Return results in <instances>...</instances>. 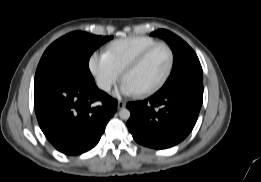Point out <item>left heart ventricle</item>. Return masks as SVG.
Returning <instances> with one entry per match:
<instances>
[{
	"label": "left heart ventricle",
	"instance_id": "left-heart-ventricle-1",
	"mask_svg": "<svg viewBox=\"0 0 261 182\" xmlns=\"http://www.w3.org/2000/svg\"><path fill=\"white\" fill-rule=\"evenodd\" d=\"M168 64V51L160 47L153 51L137 69L130 72L124 81L136 92H140L156 84L165 74Z\"/></svg>",
	"mask_w": 261,
	"mask_h": 182
}]
</instances>
